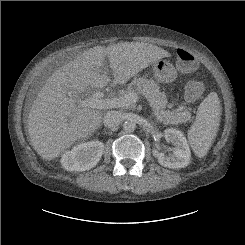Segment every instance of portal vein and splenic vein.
I'll use <instances>...</instances> for the list:
<instances>
[{"mask_svg":"<svg viewBox=\"0 0 245 245\" xmlns=\"http://www.w3.org/2000/svg\"><path fill=\"white\" fill-rule=\"evenodd\" d=\"M139 99L138 93L132 92L120 97L103 99V94L96 92L90 98L80 101L82 107L93 109L128 108Z\"/></svg>","mask_w":245,"mask_h":245,"instance_id":"portal-vein-and-splenic-vein-1","label":"portal vein and splenic vein"}]
</instances>
